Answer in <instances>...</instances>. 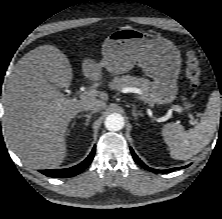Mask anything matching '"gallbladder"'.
<instances>
[{
  "instance_id": "gallbladder-1",
  "label": "gallbladder",
  "mask_w": 222,
  "mask_h": 219,
  "mask_svg": "<svg viewBox=\"0 0 222 219\" xmlns=\"http://www.w3.org/2000/svg\"><path fill=\"white\" fill-rule=\"evenodd\" d=\"M48 82H50L52 85H55L54 83H52L51 81L48 80Z\"/></svg>"
}]
</instances>
